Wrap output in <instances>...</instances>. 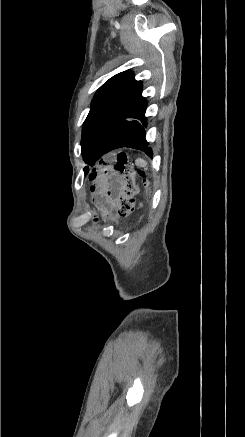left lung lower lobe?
I'll use <instances>...</instances> for the list:
<instances>
[{"label": "left lung lower lobe", "mask_w": 245, "mask_h": 437, "mask_svg": "<svg viewBox=\"0 0 245 437\" xmlns=\"http://www.w3.org/2000/svg\"><path fill=\"white\" fill-rule=\"evenodd\" d=\"M141 92L142 90L112 127L99 152V158L105 153L121 147L140 149L152 156V150L148 147L149 143L145 140L147 101L141 96Z\"/></svg>", "instance_id": "left-lung-lower-lobe-1"}]
</instances>
